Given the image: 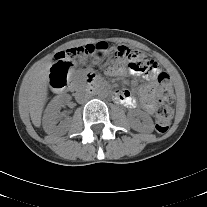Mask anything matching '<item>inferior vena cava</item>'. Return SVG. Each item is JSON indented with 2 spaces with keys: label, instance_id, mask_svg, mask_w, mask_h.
<instances>
[{
  "label": "inferior vena cava",
  "instance_id": "1",
  "mask_svg": "<svg viewBox=\"0 0 207 207\" xmlns=\"http://www.w3.org/2000/svg\"><path fill=\"white\" fill-rule=\"evenodd\" d=\"M88 99H89V96L80 98L79 102L83 103V102H86Z\"/></svg>",
  "mask_w": 207,
  "mask_h": 207
}]
</instances>
